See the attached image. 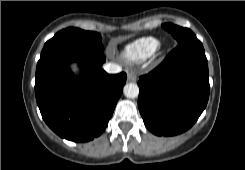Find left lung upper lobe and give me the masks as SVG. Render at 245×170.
<instances>
[{
  "label": "left lung upper lobe",
  "instance_id": "obj_1",
  "mask_svg": "<svg viewBox=\"0 0 245 170\" xmlns=\"http://www.w3.org/2000/svg\"><path fill=\"white\" fill-rule=\"evenodd\" d=\"M162 27L168 32H171L179 45H188L203 49L202 43L190 29L182 28L171 23L162 24Z\"/></svg>",
  "mask_w": 245,
  "mask_h": 170
}]
</instances>
